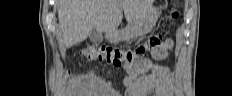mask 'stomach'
<instances>
[{
    "label": "stomach",
    "instance_id": "1",
    "mask_svg": "<svg viewBox=\"0 0 232 96\" xmlns=\"http://www.w3.org/2000/svg\"><path fill=\"white\" fill-rule=\"evenodd\" d=\"M158 18L156 8H151L140 20L135 24H129L124 31H115L107 33L106 39L111 43H120L130 37H139L149 33L155 26Z\"/></svg>",
    "mask_w": 232,
    "mask_h": 96
}]
</instances>
